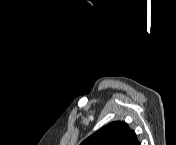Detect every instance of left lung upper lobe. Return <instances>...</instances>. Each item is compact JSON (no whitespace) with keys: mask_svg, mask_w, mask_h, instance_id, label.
Segmentation results:
<instances>
[{"mask_svg":"<svg viewBox=\"0 0 176 145\" xmlns=\"http://www.w3.org/2000/svg\"><path fill=\"white\" fill-rule=\"evenodd\" d=\"M81 145H140V143L127 123L116 121L95 132Z\"/></svg>","mask_w":176,"mask_h":145,"instance_id":"1","label":"left lung upper lobe"}]
</instances>
